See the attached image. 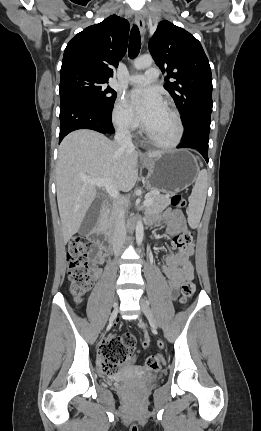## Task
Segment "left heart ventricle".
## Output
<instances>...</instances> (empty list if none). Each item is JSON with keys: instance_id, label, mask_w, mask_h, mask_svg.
<instances>
[{"instance_id": "left-heart-ventricle-1", "label": "left heart ventricle", "mask_w": 261, "mask_h": 431, "mask_svg": "<svg viewBox=\"0 0 261 431\" xmlns=\"http://www.w3.org/2000/svg\"><path fill=\"white\" fill-rule=\"evenodd\" d=\"M145 128L159 141H171L176 134V122L172 113L163 106Z\"/></svg>"}]
</instances>
